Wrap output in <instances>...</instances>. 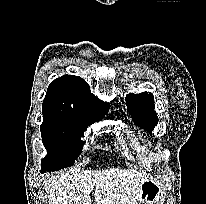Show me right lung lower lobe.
Returning a JSON list of instances; mask_svg holds the SVG:
<instances>
[{
    "mask_svg": "<svg viewBox=\"0 0 206 204\" xmlns=\"http://www.w3.org/2000/svg\"><path fill=\"white\" fill-rule=\"evenodd\" d=\"M45 172L44 170H41V173Z\"/></svg>",
    "mask_w": 206,
    "mask_h": 204,
    "instance_id": "98d812e1",
    "label": "right lung lower lobe"
}]
</instances>
